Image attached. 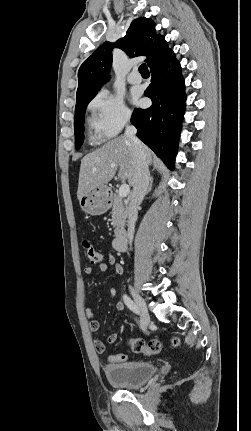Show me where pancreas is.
Returning a JSON list of instances; mask_svg holds the SVG:
<instances>
[{"label": "pancreas", "mask_w": 251, "mask_h": 431, "mask_svg": "<svg viewBox=\"0 0 251 431\" xmlns=\"http://www.w3.org/2000/svg\"><path fill=\"white\" fill-rule=\"evenodd\" d=\"M128 216L127 207L123 203L122 197L117 194L113 195L112 202V225L115 228L116 237H122L125 234V223Z\"/></svg>", "instance_id": "obj_1"}]
</instances>
